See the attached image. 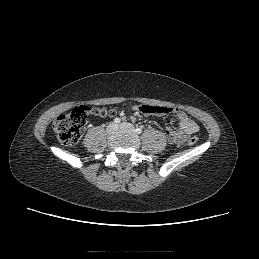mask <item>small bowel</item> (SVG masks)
<instances>
[{"instance_id":"obj_1","label":"small bowel","mask_w":259,"mask_h":259,"mask_svg":"<svg viewBox=\"0 0 259 259\" xmlns=\"http://www.w3.org/2000/svg\"><path fill=\"white\" fill-rule=\"evenodd\" d=\"M135 110L146 114V115H157L161 114H171L177 120V129L166 128L164 134L166 138L174 144H179L183 142L187 136L198 131L199 127L195 121H193L185 112L177 108L160 107L155 105H145L141 106L134 105ZM163 109V110H162Z\"/></svg>"}]
</instances>
